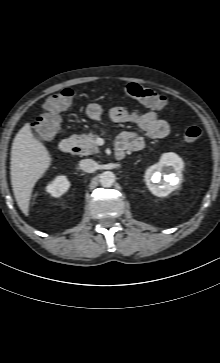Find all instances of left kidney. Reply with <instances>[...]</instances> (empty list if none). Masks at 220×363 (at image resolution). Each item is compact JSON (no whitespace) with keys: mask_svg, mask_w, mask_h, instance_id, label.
Wrapping results in <instances>:
<instances>
[{"mask_svg":"<svg viewBox=\"0 0 220 363\" xmlns=\"http://www.w3.org/2000/svg\"><path fill=\"white\" fill-rule=\"evenodd\" d=\"M183 167V161L176 154H163L159 163L152 165L145 172L148 189L155 196H167L178 185ZM162 176L164 182H161Z\"/></svg>","mask_w":220,"mask_h":363,"instance_id":"obj_1","label":"left kidney"}]
</instances>
